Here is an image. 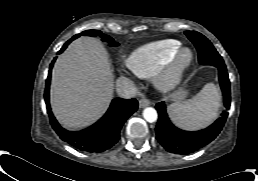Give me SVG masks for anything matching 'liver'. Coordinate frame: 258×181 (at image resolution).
I'll return each mask as SVG.
<instances>
[{"label": "liver", "instance_id": "liver-1", "mask_svg": "<svg viewBox=\"0 0 258 181\" xmlns=\"http://www.w3.org/2000/svg\"><path fill=\"white\" fill-rule=\"evenodd\" d=\"M113 80L107 52L98 40L73 41L52 71L50 102L57 120L68 129L95 122L113 98Z\"/></svg>", "mask_w": 258, "mask_h": 181}]
</instances>
